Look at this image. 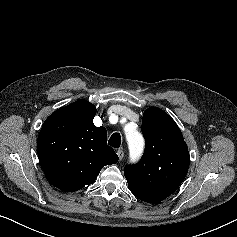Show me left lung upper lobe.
Masks as SVG:
<instances>
[{
    "label": "left lung upper lobe",
    "mask_w": 237,
    "mask_h": 237,
    "mask_svg": "<svg viewBox=\"0 0 237 237\" xmlns=\"http://www.w3.org/2000/svg\"><path fill=\"white\" fill-rule=\"evenodd\" d=\"M145 151L136 165L126 166L130 191L140 200L157 203L170 196L187 175L190 157L175 121L163 110L148 108L142 119Z\"/></svg>",
    "instance_id": "left-lung-upper-lobe-1"
}]
</instances>
